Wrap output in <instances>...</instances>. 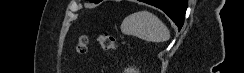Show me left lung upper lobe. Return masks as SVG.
<instances>
[{
	"label": "left lung upper lobe",
	"instance_id": "left-lung-upper-lobe-1",
	"mask_svg": "<svg viewBox=\"0 0 244 73\" xmlns=\"http://www.w3.org/2000/svg\"><path fill=\"white\" fill-rule=\"evenodd\" d=\"M91 1L96 2V3L100 2L99 0H91Z\"/></svg>",
	"mask_w": 244,
	"mask_h": 73
}]
</instances>
